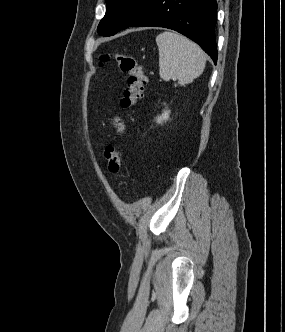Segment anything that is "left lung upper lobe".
Segmentation results:
<instances>
[{"mask_svg":"<svg viewBox=\"0 0 285 332\" xmlns=\"http://www.w3.org/2000/svg\"><path fill=\"white\" fill-rule=\"evenodd\" d=\"M154 0H106V14L97 32L112 36L133 23Z\"/></svg>","mask_w":285,"mask_h":332,"instance_id":"obj_1","label":"left lung upper lobe"}]
</instances>
